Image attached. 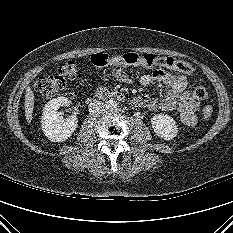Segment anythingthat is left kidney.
I'll use <instances>...</instances> for the list:
<instances>
[{"label":"left kidney","instance_id":"5707ae66","mask_svg":"<svg viewBox=\"0 0 233 233\" xmlns=\"http://www.w3.org/2000/svg\"><path fill=\"white\" fill-rule=\"evenodd\" d=\"M151 125L154 132L164 140H172L178 134L176 122L169 115L157 114L153 116Z\"/></svg>","mask_w":233,"mask_h":233}]
</instances>
